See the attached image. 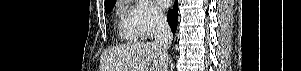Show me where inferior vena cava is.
I'll return each instance as SVG.
<instances>
[{
    "label": "inferior vena cava",
    "mask_w": 301,
    "mask_h": 71,
    "mask_svg": "<svg viewBox=\"0 0 301 71\" xmlns=\"http://www.w3.org/2000/svg\"><path fill=\"white\" fill-rule=\"evenodd\" d=\"M154 18L156 26L154 45L161 51V53L166 55L167 50L172 43L173 35L164 14L156 13Z\"/></svg>",
    "instance_id": "inferior-vena-cava-1"
}]
</instances>
